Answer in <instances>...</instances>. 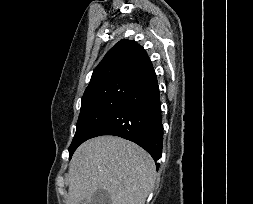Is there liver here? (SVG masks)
Masks as SVG:
<instances>
[{
	"label": "liver",
	"instance_id": "liver-1",
	"mask_svg": "<svg viewBox=\"0 0 253 204\" xmlns=\"http://www.w3.org/2000/svg\"><path fill=\"white\" fill-rule=\"evenodd\" d=\"M152 157L137 144L104 135L81 144L69 165L67 204L91 202L103 189L112 204H145L155 184Z\"/></svg>",
	"mask_w": 253,
	"mask_h": 204
}]
</instances>
